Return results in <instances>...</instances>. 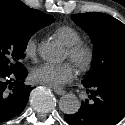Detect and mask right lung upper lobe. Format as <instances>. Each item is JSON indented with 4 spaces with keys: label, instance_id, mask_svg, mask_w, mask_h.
<instances>
[{
    "label": "right lung upper lobe",
    "instance_id": "obj_1",
    "mask_svg": "<svg viewBox=\"0 0 125 125\" xmlns=\"http://www.w3.org/2000/svg\"><path fill=\"white\" fill-rule=\"evenodd\" d=\"M45 13L31 9L18 0L0 1V23L15 29L35 30L46 18Z\"/></svg>",
    "mask_w": 125,
    "mask_h": 125
}]
</instances>
